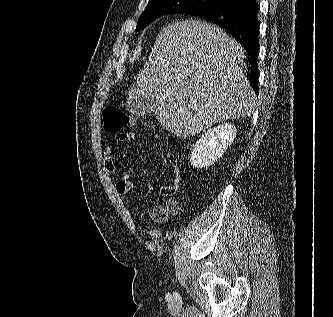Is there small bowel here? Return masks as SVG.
<instances>
[{
  "mask_svg": "<svg viewBox=\"0 0 333 317\" xmlns=\"http://www.w3.org/2000/svg\"><path fill=\"white\" fill-rule=\"evenodd\" d=\"M136 134L134 132L122 133L119 136V141H134ZM113 146L107 145L104 150L103 165L108 172H114L116 165L113 159ZM173 171V183L171 185H165L161 188V193L164 196L174 197L180 188L181 173L178 166L174 161H171ZM132 175L126 171L122 174L121 178L116 183V192L120 197H127L132 191L131 183ZM181 210L180 203L174 199H168L164 205L154 206L149 212V219L154 223H164L170 216L177 215ZM138 228L152 239H159L162 237V231L158 229H150L146 226L139 224Z\"/></svg>",
  "mask_w": 333,
  "mask_h": 317,
  "instance_id": "small-bowel-1",
  "label": "small bowel"
}]
</instances>
